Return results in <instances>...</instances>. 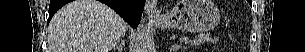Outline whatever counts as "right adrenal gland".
<instances>
[{"mask_svg":"<svg viewBox=\"0 0 305 52\" xmlns=\"http://www.w3.org/2000/svg\"><path fill=\"white\" fill-rule=\"evenodd\" d=\"M124 46H125V42L124 40H122L121 43H118L117 45L114 46L113 51L118 50L119 52H122Z\"/></svg>","mask_w":305,"mask_h":52,"instance_id":"1","label":"right adrenal gland"}]
</instances>
